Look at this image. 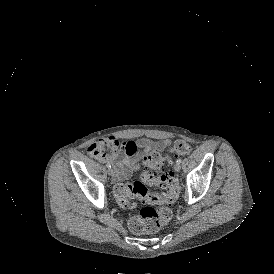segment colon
Returning a JSON list of instances; mask_svg holds the SVG:
<instances>
[{
  "label": "colon",
  "instance_id": "colon-1",
  "mask_svg": "<svg viewBox=\"0 0 274 274\" xmlns=\"http://www.w3.org/2000/svg\"><path fill=\"white\" fill-rule=\"evenodd\" d=\"M174 150L181 156H188L191 153V146L184 140H177L174 143ZM172 154L173 147L164 145L162 151L156 156L144 158L140 162V169L143 173L138 181L118 184L115 187V198L123 208H134L135 204L131 201V198L136 196L140 198L148 197L159 205L158 208L146 206L139 213L133 214L127 219V227L134 234L142 235L156 232L165 226L171 218L169 205L176 200L180 191L175 174L165 172L164 169V165L170 160ZM150 186L161 188L163 190L162 197L157 199L154 195H150Z\"/></svg>",
  "mask_w": 274,
  "mask_h": 274
}]
</instances>
